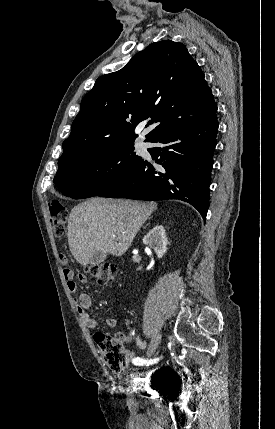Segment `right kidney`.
Segmentation results:
<instances>
[{
  "instance_id": "ca27d5eb",
  "label": "right kidney",
  "mask_w": 275,
  "mask_h": 429,
  "mask_svg": "<svg viewBox=\"0 0 275 429\" xmlns=\"http://www.w3.org/2000/svg\"><path fill=\"white\" fill-rule=\"evenodd\" d=\"M143 243L154 249L158 258H162L167 251L168 240L162 225L155 226L143 238Z\"/></svg>"
}]
</instances>
